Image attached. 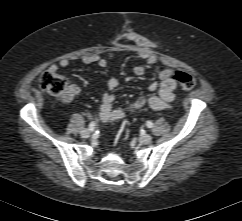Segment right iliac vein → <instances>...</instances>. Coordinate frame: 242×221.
<instances>
[{
	"instance_id": "63e3f726",
	"label": "right iliac vein",
	"mask_w": 242,
	"mask_h": 221,
	"mask_svg": "<svg viewBox=\"0 0 242 221\" xmlns=\"http://www.w3.org/2000/svg\"><path fill=\"white\" fill-rule=\"evenodd\" d=\"M80 134L83 138H88L90 136L91 132L87 129H84V130L81 131Z\"/></svg>"
}]
</instances>
